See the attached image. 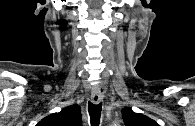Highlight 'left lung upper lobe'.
Segmentation results:
<instances>
[{"label":"left lung upper lobe","instance_id":"1","mask_svg":"<svg viewBox=\"0 0 195 126\" xmlns=\"http://www.w3.org/2000/svg\"><path fill=\"white\" fill-rule=\"evenodd\" d=\"M122 116L126 126H159L154 120L143 114L134 113L129 108L123 109Z\"/></svg>","mask_w":195,"mask_h":126}]
</instances>
